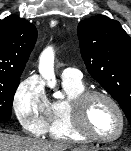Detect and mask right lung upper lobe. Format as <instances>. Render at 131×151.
<instances>
[{
    "label": "right lung upper lobe",
    "mask_w": 131,
    "mask_h": 151,
    "mask_svg": "<svg viewBox=\"0 0 131 151\" xmlns=\"http://www.w3.org/2000/svg\"><path fill=\"white\" fill-rule=\"evenodd\" d=\"M37 39L34 24L17 15L0 20V75L21 74Z\"/></svg>",
    "instance_id": "cb5924a9"
}]
</instances>
